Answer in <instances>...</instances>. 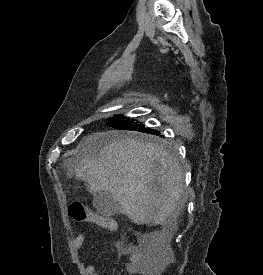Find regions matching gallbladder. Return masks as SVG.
Wrapping results in <instances>:
<instances>
[{"label": "gallbladder", "instance_id": "1", "mask_svg": "<svg viewBox=\"0 0 263 275\" xmlns=\"http://www.w3.org/2000/svg\"><path fill=\"white\" fill-rule=\"evenodd\" d=\"M93 205L98 213L105 217L122 213L120 203L107 191L93 193Z\"/></svg>", "mask_w": 263, "mask_h": 275}]
</instances>
